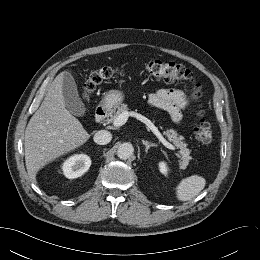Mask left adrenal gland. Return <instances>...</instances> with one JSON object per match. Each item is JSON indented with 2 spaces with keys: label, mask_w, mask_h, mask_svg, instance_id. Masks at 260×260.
I'll use <instances>...</instances> for the list:
<instances>
[{
  "label": "left adrenal gland",
  "mask_w": 260,
  "mask_h": 260,
  "mask_svg": "<svg viewBox=\"0 0 260 260\" xmlns=\"http://www.w3.org/2000/svg\"><path fill=\"white\" fill-rule=\"evenodd\" d=\"M142 143L143 145H145V152L148 153V150L151 148V147H157V144L155 143H150L148 141H145V140H142Z\"/></svg>",
  "instance_id": "obj_1"
}]
</instances>
